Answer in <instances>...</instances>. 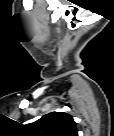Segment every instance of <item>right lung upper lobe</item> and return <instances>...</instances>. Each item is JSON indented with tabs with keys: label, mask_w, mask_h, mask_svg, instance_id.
<instances>
[{
	"label": "right lung upper lobe",
	"mask_w": 114,
	"mask_h": 136,
	"mask_svg": "<svg viewBox=\"0 0 114 136\" xmlns=\"http://www.w3.org/2000/svg\"><path fill=\"white\" fill-rule=\"evenodd\" d=\"M34 136H77L73 117L65 112H51L29 125Z\"/></svg>",
	"instance_id": "obj_1"
}]
</instances>
